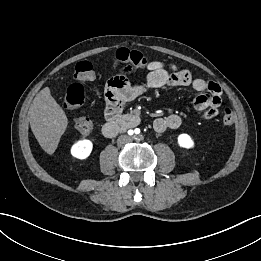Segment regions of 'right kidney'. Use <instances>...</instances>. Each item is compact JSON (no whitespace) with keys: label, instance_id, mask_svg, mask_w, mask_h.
Masks as SVG:
<instances>
[{"label":"right kidney","instance_id":"1","mask_svg":"<svg viewBox=\"0 0 261 261\" xmlns=\"http://www.w3.org/2000/svg\"><path fill=\"white\" fill-rule=\"evenodd\" d=\"M93 144L90 140H80L71 148V154L78 159H86L92 151Z\"/></svg>","mask_w":261,"mask_h":261}]
</instances>
